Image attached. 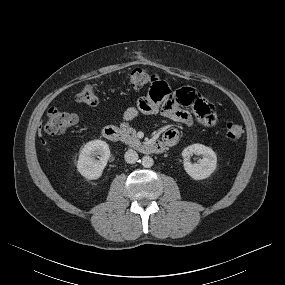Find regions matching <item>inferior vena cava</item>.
Returning <instances> with one entry per match:
<instances>
[{
  "label": "inferior vena cava",
  "mask_w": 285,
  "mask_h": 285,
  "mask_svg": "<svg viewBox=\"0 0 285 285\" xmlns=\"http://www.w3.org/2000/svg\"><path fill=\"white\" fill-rule=\"evenodd\" d=\"M125 161L129 164H133L138 160V154L136 151L129 149L125 153Z\"/></svg>",
  "instance_id": "inferior-vena-cava-1"
}]
</instances>
